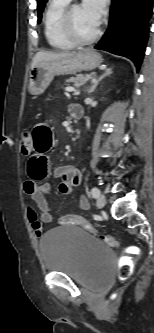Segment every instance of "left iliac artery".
I'll return each mask as SVG.
<instances>
[{
    "mask_svg": "<svg viewBox=\"0 0 154 333\" xmlns=\"http://www.w3.org/2000/svg\"><path fill=\"white\" fill-rule=\"evenodd\" d=\"M90 193L93 198H97L100 195V190L96 187H93Z\"/></svg>",
    "mask_w": 154,
    "mask_h": 333,
    "instance_id": "left-iliac-artery-1",
    "label": "left iliac artery"
}]
</instances>
